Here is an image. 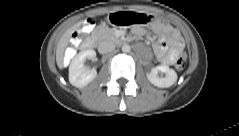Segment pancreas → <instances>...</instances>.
<instances>
[{
    "mask_svg": "<svg viewBox=\"0 0 239 136\" xmlns=\"http://www.w3.org/2000/svg\"><path fill=\"white\" fill-rule=\"evenodd\" d=\"M94 37H97L99 39H116L115 36H114V32L107 28V27H104V26H99L94 34H93Z\"/></svg>",
    "mask_w": 239,
    "mask_h": 136,
    "instance_id": "1",
    "label": "pancreas"
}]
</instances>
